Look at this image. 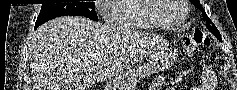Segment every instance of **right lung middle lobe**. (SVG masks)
<instances>
[{"label":"right lung middle lobe","instance_id":"right-lung-middle-lobe-1","mask_svg":"<svg viewBox=\"0 0 237 90\" xmlns=\"http://www.w3.org/2000/svg\"><path fill=\"white\" fill-rule=\"evenodd\" d=\"M94 2L42 4L35 23V28L41 24L60 16H84L98 21Z\"/></svg>","mask_w":237,"mask_h":90}]
</instances>
